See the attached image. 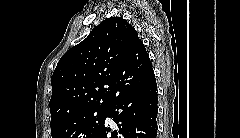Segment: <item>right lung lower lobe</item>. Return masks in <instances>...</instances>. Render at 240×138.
Returning <instances> with one entry per match:
<instances>
[{"instance_id": "right-lung-lower-lobe-1", "label": "right lung lower lobe", "mask_w": 240, "mask_h": 138, "mask_svg": "<svg viewBox=\"0 0 240 138\" xmlns=\"http://www.w3.org/2000/svg\"><path fill=\"white\" fill-rule=\"evenodd\" d=\"M157 104V83L153 74L109 105L106 117L113 119L117 129L104 123L93 138H156Z\"/></svg>"}]
</instances>
